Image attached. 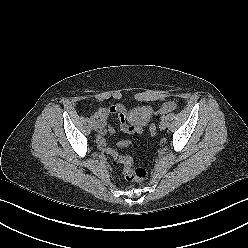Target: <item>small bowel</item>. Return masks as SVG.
<instances>
[{"label":"small bowel","instance_id":"obj_1","mask_svg":"<svg viewBox=\"0 0 248 248\" xmlns=\"http://www.w3.org/2000/svg\"><path fill=\"white\" fill-rule=\"evenodd\" d=\"M174 108L175 105L173 102H167L162 106L161 111L169 112L172 111ZM143 109L148 115L154 113V110L150 107H144ZM116 113L119 116L120 129L123 132L131 134V133H141L143 131L145 123L134 124L129 122L126 109L123 105L113 104L108 107L99 108L95 114V118L97 119L100 127V132L97 137V144L100 149H105L106 147L105 134L114 133L115 131L112 125L107 124V119L109 115Z\"/></svg>","mask_w":248,"mask_h":248}]
</instances>
